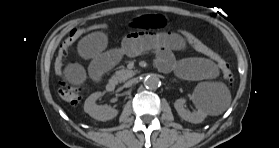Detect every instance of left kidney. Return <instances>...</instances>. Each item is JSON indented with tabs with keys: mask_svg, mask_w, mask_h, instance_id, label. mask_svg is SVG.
Here are the masks:
<instances>
[{
	"mask_svg": "<svg viewBox=\"0 0 279 148\" xmlns=\"http://www.w3.org/2000/svg\"><path fill=\"white\" fill-rule=\"evenodd\" d=\"M191 99L197 109L195 112H190L185 108L186 99L184 98L177 99L174 107L182 119L195 124L201 123L209 111L196 90L193 92Z\"/></svg>",
	"mask_w": 279,
	"mask_h": 148,
	"instance_id": "5707ae66",
	"label": "left kidney"
}]
</instances>
